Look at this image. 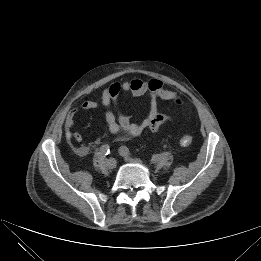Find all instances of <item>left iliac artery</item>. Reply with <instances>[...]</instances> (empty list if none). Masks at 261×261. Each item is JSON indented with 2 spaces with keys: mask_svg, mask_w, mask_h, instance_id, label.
Wrapping results in <instances>:
<instances>
[{
  "mask_svg": "<svg viewBox=\"0 0 261 261\" xmlns=\"http://www.w3.org/2000/svg\"><path fill=\"white\" fill-rule=\"evenodd\" d=\"M120 152H122L126 155H131V152L129 151V149L126 146L120 147Z\"/></svg>",
  "mask_w": 261,
  "mask_h": 261,
  "instance_id": "44dca946",
  "label": "left iliac artery"
}]
</instances>
